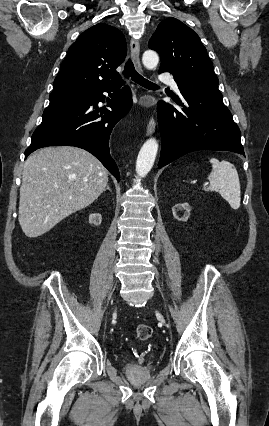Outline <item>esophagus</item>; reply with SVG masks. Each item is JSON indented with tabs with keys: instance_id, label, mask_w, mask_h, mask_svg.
I'll use <instances>...</instances> for the list:
<instances>
[{
	"instance_id": "1",
	"label": "esophagus",
	"mask_w": 269,
	"mask_h": 426,
	"mask_svg": "<svg viewBox=\"0 0 269 426\" xmlns=\"http://www.w3.org/2000/svg\"><path fill=\"white\" fill-rule=\"evenodd\" d=\"M130 50H131V55L132 58L134 60V63L136 65V68L139 72H142V67L140 64V59H139V52H140V45H139V41L135 38H132L130 41ZM155 131V121L153 118H150L148 124H147V128H146V132L147 135H152Z\"/></svg>"
}]
</instances>
